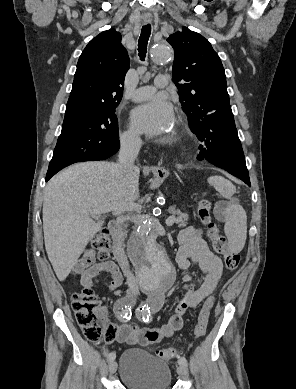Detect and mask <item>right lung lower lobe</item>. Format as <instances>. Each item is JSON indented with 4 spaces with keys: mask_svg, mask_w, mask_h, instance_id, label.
Instances as JSON below:
<instances>
[{
    "mask_svg": "<svg viewBox=\"0 0 296 389\" xmlns=\"http://www.w3.org/2000/svg\"><path fill=\"white\" fill-rule=\"evenodd\" d=\"M118 149H119V147H118ZM118 149H116V150H112L111 152H109L108 154H107V158L108 157H110V156H112L113 154H115L117 151H118ZM106 159V158H105ZM95 161V160H94ZM62 168H48V172H47V174H46V178H45V180L46 181H48L54 174H56L59 170H61Z\"/></svg>",
    "mask_w": 296,
    "mask_h": 389,
    "instance_id": "right-lung-lower-lobe-1",
    "label": "right lung lower lobe"
}]
</instances>
